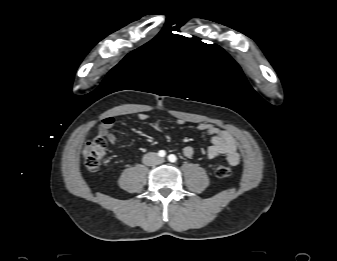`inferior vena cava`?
<instances>
[{"label":"inferior vena cava","mask_w":337,"mask_h":261,"mask_svg":"<svg viewBox=\"0 0 337 261\" xmlns=\"http://www.w3.org/2000/svg\"><path fill=\"white\" fill-rule=\"evenodd\" d=\"M163 159L160 158L156 153L149 152L143 156V163L148 166H154L161 164Z\"/></svg>","instance_id":"inferior-vena-cava-1"}]
</instances>
